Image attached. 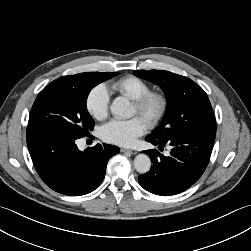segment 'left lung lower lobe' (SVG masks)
I'll use <instances>...</instances> for the list:
<instances>
[{"label":"left lung lower lobe","instance_id":"obj_1","mask_svg":"<svg viewBox=\"0 0 251 251\" xmlns=\"http://www.w3.org/2000/svg\"><path fill=\"white\" fill-rule=\"evenodd\" d=\"M216 132L184 133L166 141L150 137L146 141L159 148L172 146L170 156L157 150H146L151 158L149 172L139 176V184L147 191L161 196L175 195L192 186L204 173L213 149Z\"/></svg>","mask_w":251,"mask_h":251}]
</instances>
